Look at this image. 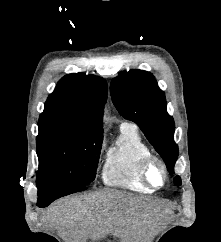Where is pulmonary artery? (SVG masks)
<instances>
[{
  "mask_svg": "<svg viewBox=\"0 0 221 242\" xmlns=\"http://www.w3.org/2000/svg\"><path fill=\"white\" fill-rule=\"evenodd\" d=\"M127 125V123H122L121 126Z\"/></svg>",
  "mask_w": 221,
  "mask_h": 242,
  "instance_id": "obj_1",
  "label": "pulmonary artery"
}]
</instances>
